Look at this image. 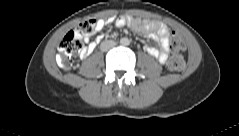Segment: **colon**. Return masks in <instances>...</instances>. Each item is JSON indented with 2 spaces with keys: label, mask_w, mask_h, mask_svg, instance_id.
<instances>
[{
  "label": "colon",
  "mask_w": 239,
  "mask_h": 136,
  "mask_svg": "<svg viewBox=\"0 0 239 136\" xmlns=\"http://www.w3.org/2000/svg\"><path fill=\"white\" fill-rule=\"evenodd\" d=\"M97 20L89 19L81 22L76 31L68 32L58 47L57 60L61 68L69 70L73 68L74 62L83 48V37L92 35L97 30ZM170 46L173 55L167 63L171 71H179L184 66L183 51L186 44L184 39L176 32H172Z\"/></svg>",
  "instance_id": "colon-1"
}]
</instances>
